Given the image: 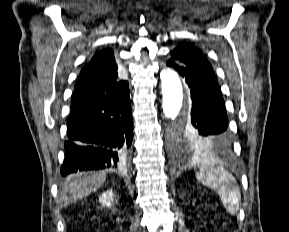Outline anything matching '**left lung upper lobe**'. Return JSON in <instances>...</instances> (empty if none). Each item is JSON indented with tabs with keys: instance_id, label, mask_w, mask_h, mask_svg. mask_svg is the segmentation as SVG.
Wrapping results in <instances>:
<instances>
[{
	"instance_id": "left-lung-upper-lobe-1",
	"label": "left lung upper lobe",
	"mask_w": 289,
	"mask_h": 232,
	"mask_svg": "<svg viewBox=\"0 0 289 232\" xmlns=\"http://www.w3.org/2000/svg\"><path fill=\"white\" fill-rule=\"evenodd\" d=\"M171 58L181 65L195 68L215 77L212 66L201 51L191 44L181 43L172 52ZM173 144L178 150L213 151L212 142L200 136L189 122H176L173 126Z\"/></svg>"
}]
</instances>
